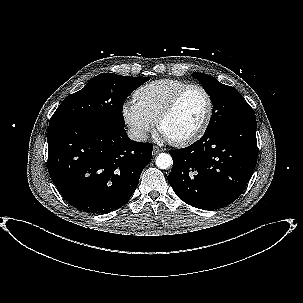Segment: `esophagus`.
Segmentation results:
<instances>
[{
  "instance_id": "esophagus-1",
  "label": "esophagus",
  "mask_w": 303,
  "mask_h": 303,
  "mask_svg": "<svg viewBox=\"0 0 303 303\" xmlns=\"http://www.w3.org/2000/svg\"><path fill=\"white\" fill-rule=\"evenodd\" d=\"M162 151H164V149L160 148L158 146H154V148H153V154L154 155H156V154H158L159 152H162Z\"/></svg>"
}]
</instances>
